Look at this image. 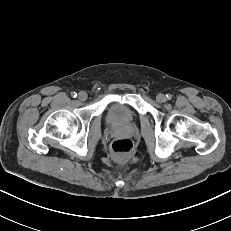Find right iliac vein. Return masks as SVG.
<instances>
[{"label":"right iliac vein","instance_id":"63e3f726","mask_svg":"<svg viewBox=\"0 0 231 231\" xmlns=\"http://www.w3.org/2000/svg\"><path fill=\"white\" fill-rule=\"evenodd\" d=\"M88 95L85 91H81L78 93V99L80 101H85L87 99Z\"/></svg>","mask_w":231,"mask_h":231}]
</instances>
